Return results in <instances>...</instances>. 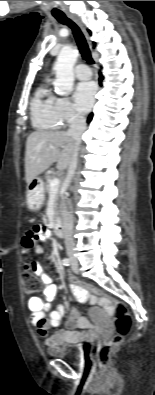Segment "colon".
Masks as SVG:
<instances>
[{
    "label": "colon",
    "instance_id": "colon-1",
    "mask_svg": "<svg viewBox=\"0 0 155 395\" xmlns=\"http://www.w3.org/2000/svg\"><path fill=\"white\" fill-rule=\"evenodd\" d=\"M21 281L25 292L29 295L38 293L42 288V283L34 271V261L30 258H27L24 262ZM70 284L80 285L81 288H87L88 292L96 294V296H103L104 294L103 289L95 287V285H89V282L84 281L83 278H70L68 280V286ZM111 305L112 311L115 313V334L111 339L103 341L97 348L96 355L100 365H106L109 362L112 354L121 344L123 338L129 334L133 325L132 317L124 304L112 300Z\"/></svg>",
    "mask_w": 155,
    "mask_h": 395
}]
</instances>
